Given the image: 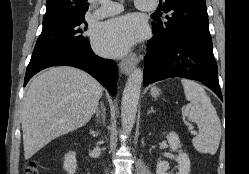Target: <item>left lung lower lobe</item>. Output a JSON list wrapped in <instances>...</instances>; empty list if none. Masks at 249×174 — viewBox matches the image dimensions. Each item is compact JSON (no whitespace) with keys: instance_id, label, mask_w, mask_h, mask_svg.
I'll use <instances>...</instances> for the list:
<instances>
[{"instance_id":"0a47b994","label":"left lung lower lobe","mask_w":249,"mask_h":174,"mask_svg":"<svg viewBox=\"0 0 249 174\" xmlns=\"http://www.w3.org/2000/svg\"><path fill=\"white\" fill-rule=\"evenodd\" d=\"M144 62L145 86L166 78H188L200 81L222 100L211 38L167 43L154 36Z\"/></svg>"}]
</instances>
